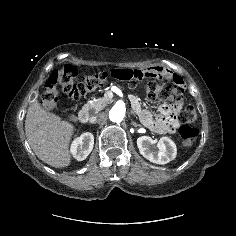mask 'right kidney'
Returning a JSON list of instances; mask_svg holds the SVG:
<instances>
[{"label": "right kidney", "mask_w": 236, "mask_h": 236, "mask_svg": "<svg viewBox=\"0 0 236 236\" xmlns=\"http://www.w3.org/2000/svg\"><path fill=\"white\" fill-rule=\"evenodd\" d=\"M94 145V136L92 133L86 132L83 133L80 137L74 139L71 144L70 151L73 157L82 161L87 158V156L91 153Z\"/></svg>", "instance_id": "obj_1"}]
</instances>
